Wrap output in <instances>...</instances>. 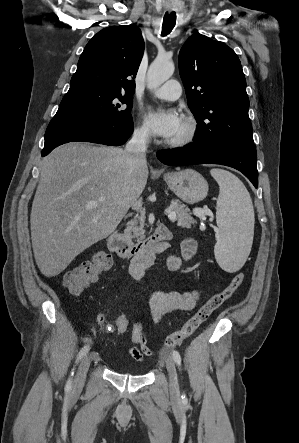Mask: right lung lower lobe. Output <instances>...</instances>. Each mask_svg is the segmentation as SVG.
<instances>
[{
    "instance_id": "obj_1",
    "label": "right lung lower lobe",
    "mask_w": 299,
    "mask_h": 443,
    "mask_svg": "<svg viewBox=\"0 0 299 443\" xmlns=\"http://www.w3.org/2000/svg\"><path fill=\"white\" fill-rule=\"evenodd\" d=\"M132 132V118L75 123L51 121L41 155L44 157L59 145L76 141L119 146L127 141Z\"/></svg>"
}]
</instances>
